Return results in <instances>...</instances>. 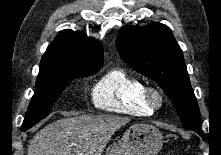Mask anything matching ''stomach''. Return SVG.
I'll return each instance as SVG.
<instances>
[{
	"label": "stomach",
	"mask_w": 221,
	"mask_h": 155,
	"mask_svg": "<svg viewBox=\"0 0 221 155\" xmlns=\"http://www.w3.org/2000/svg\"><path fill=\"white\" fill-rule=\"evenodd\" d=\"M162 146L163 136L158 128L136 124L128 128L105 155H156Z\"/></svg>",
	"instance_id": "0dacf381"
}]
</instances>
